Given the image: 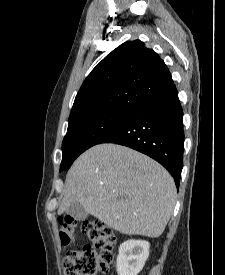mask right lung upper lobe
Here are the masks:
<instances>
[{"label": "right lung upper lobe", "mask_w": 225, "mask_h": 275, "mask_svg": "<svg viewBox=\"0 0 225 275\" xmlns=\"http://www.w3.org/2000/svg\"><path fill=\"white\" fill-rule=\"evenodd\" d=\"M176 90L164 61L144 43L121 44L87 76L68 122L109 111H132L141 104Z\"/></svg>", "instance_id": "cb5924a9"}]
</instances>
